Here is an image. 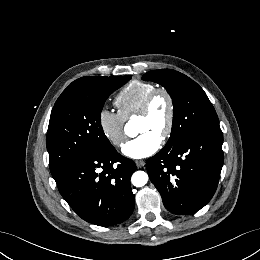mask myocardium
Segmentation results:
<instances>
[{"mask_svg": "<svg viewBox=\"0 0 260 260\" xmlns=\"http://www.w3.org/2000/svg\"><path fill=\"white\" fill-rule=\"evenodd\" d=\"M159 95H163L167 99L169 107L167 123L161 134V139L166 140L171 136L173 132L176 116L174 98L166 88L158 87L152 90L150 93H148L147 96L144 98L137 115L141 117L147 116L150 113V109L155 98Z\"/></svg>", "mask_w": 260, "mask_h": 260, "instance_id": "myocardium-1", "label": "myocardium"}]
</instances>
